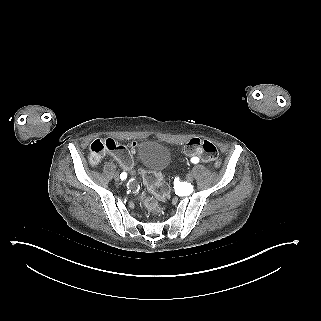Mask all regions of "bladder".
I'll return each mask as SVG.
<instances>
[{"mask_svg":"<svg viewBox=\"0 0 321 321\" xmlns=\"http://www.w3.org/2000/svg\"><path fill=\"white\" fill-rule=\"evenodd\" d=\"M137 163L147 171L160 173L170 160L169 150L153 141L140 142L135 150Z\"/></svg>","mask_w":321,"mask_h":321,"instance_id":"31cf9c89","label":"bladder"}]
</instances>
